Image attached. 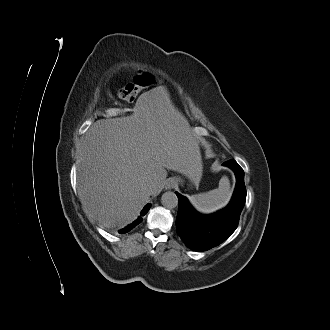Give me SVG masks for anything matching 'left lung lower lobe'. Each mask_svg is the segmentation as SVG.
<instances>
[{"instance_id":"0a47b994","label":"left lung lower lobe","mask_w":330,"mask_h":330,"mask_svg":"<svg viewBox=\"0 0 330 330\" xmlns=\"http://www.w3.org/2000/svg\"><path fill=\"white\" fill-rule=\"evenodd\" d=\"M236 175L237 183L228 206L214 214L202 215L195 211L185 197L178 196L177 233L192 250L206 251L225 241L237 228L246 197L244 171L235 160L224 163Z\"/></svg>"}]
</instances>
